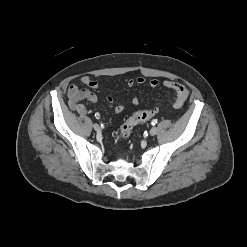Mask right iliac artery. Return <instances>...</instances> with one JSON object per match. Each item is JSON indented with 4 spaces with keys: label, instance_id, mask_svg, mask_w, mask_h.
I'll return each mask as SVG.
<instances>
[{
    "label": "right iliac artery",
    "instance_id": "right-iliac-artery-1",
    "mask_svg": "<svg viewBox=\"0 0 247 247\" xmlns=\"http://www.w3.org/2000/svg\"><path fill=\"white\" fill-rule=\"evenodd\" d=\"M95 117L98 119V118H100V114L99 113H96L95 114Z\"/></svg>",
    "mask_w": 247,
    "mask_h": 247
}]
</instances>
